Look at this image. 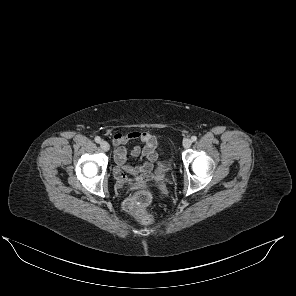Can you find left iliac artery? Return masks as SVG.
<instances>
[{
  "label": "left iliac artery",
  "instance_id": "44dca946",
  "mask_svg": "<svg viewBox=\"0 0 296 296\" xmlns=\"http://www.w3.org/2000/svg\"><path fill=\"white\" fill-rule=\"evenodd\" d=\"M191 140H192V142H195L197 140V137L196 136H192L191 137Z\"/></svg>",
  "mask_w": 296,
  "mask_h": 296
}]
</instances>
